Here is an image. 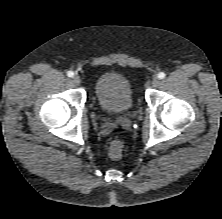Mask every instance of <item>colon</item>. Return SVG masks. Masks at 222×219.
I'll list each match as a JSON object with an SVG mask.
<instances>
[{"label": "colon", "mask_w": 222, "mask_h": 219, "mask_svg": "<svg viewBox=\"0 0 222 219\" xmlns=\"http://www.w3.org/2000/svg\"><path fill=\"white\" fill-rule=\"evenodd\" d=\"M124 145L120 140H112L108 148L110 158L118 160L122 157Z\"/></svg>", "instance_id": "obj_1"}]
</instances>
